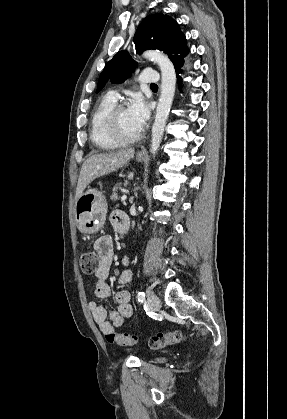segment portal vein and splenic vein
I'll return each instance as SVG.
<instances>
[{"instance_id":"obj_1","label":"portal vein and splenic vein","mask_w":287,"mask_h":419,"mask_svg":"<svg viewBox=\"0 0 287 419\" xmlns=\"http://www.w3.org/2000/svg\"><path fill=\"white\" fill-rule=\"evenodd\" d=\"M127 199V196L124 194L122 197H121V200L122 201H125Z\"/></svg>"}]
</instances>
